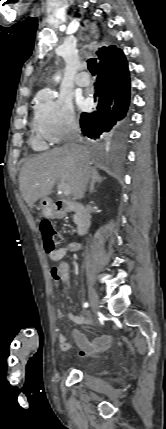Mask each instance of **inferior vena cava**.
Listing matches in <instances>:
<instances>
[{
  "label": "inferior vena cava",
  "mask_w": 166,
  "mask_h": 429,
  "mask_svg": "<svg viewBox=\"0 0 166 429\" xmlns=\"http://www.w3.org/2000/svg\"><path fill=\"white\" fill-rule=\"evenodd\" d=\"M80 142V130L77 122H73L67 132L65 138L64 147L74 152L78 157H84V148L79 145ZM88 181L85 182V188L87 186Z\"/></svg>",
  "instance_id": "1"
}]
</instances>
